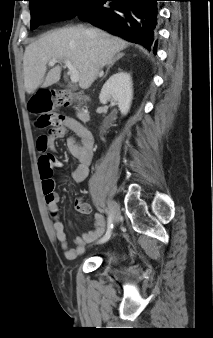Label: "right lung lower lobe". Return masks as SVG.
Wrapping results in <instances>:
<instances>
[{
	"mask_svg": "<svg viewBox=\"0 0 213 338\" xmlns=\"http://www.w3.org/2000/svg\"><path fill=\"white\" fill-rule=\"evenodd\" d=\"M159 1L163 0H96L78 16L156 54Z\"/></svg>",
	"mask_w": 213,
	"mask_h": 338,
	"instance_id": "right-lung-lower-lobe-1",
	"label": "right lung lower lobe"
}]
</instances>
